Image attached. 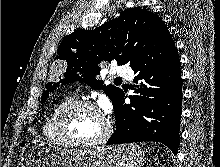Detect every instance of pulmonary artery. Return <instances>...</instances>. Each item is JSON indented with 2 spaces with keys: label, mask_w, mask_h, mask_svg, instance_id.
<instances>
[{
  "label": "pulmonary artery",
  "mask_w": 220,
  "mask_h": 167,
  "mask_svg": "<svg viewBox=\"0 0 220 167\" xmlns=\"http://www.w3.org/2000/svg\"><path fill=\"white\" fill-rule=\"evenodd\" d=\"M113 73L117 76H120L126 79L131 78L132 76V70L125 65H121V66L114 68Z\"/></svg>",
  "instance_id": "obj_1"
}]
</instances>
